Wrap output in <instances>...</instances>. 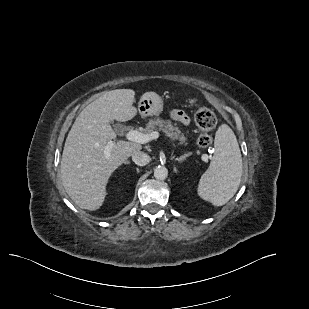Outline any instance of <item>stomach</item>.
<instances>
[{
    "label": "stomach",
    "instance_id": "1",
    "mask_svg": "<svg viewBox=\"0 0 309 309\" xmlns=\"http://www.w3.org/2000/svg\"><path fill=\"white\" fill-rule=\"evenodd\" d=\"M138 111L143 116H158L163 111V101L154 92L144 93L138 103Z\"/></svg>",
    "mask_w": 309,
    "mask_h": 309
}]
</instances>
